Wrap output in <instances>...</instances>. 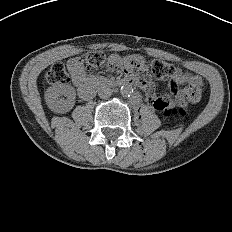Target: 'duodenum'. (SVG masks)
Masks as SVG:
<instances>
[{"label": "duodenum", "mask_w": 232, "mask_h": 232, "mask_svg": "<svg viewBox=\"0 0 232 232\" xmlns=\"http://www.w3.org/2000/svg\"><path fill=\"white\" fill-rule=\"evenodd\" d=\"M136 83L137 82L135 81V78L132 77H128L119 81L96 79L87 83L85 87L81 88L79 94L84 99H90L93 97L98 87H121L134 85Z\"/></svg>", "instance_id": "1"}]
</instances>
